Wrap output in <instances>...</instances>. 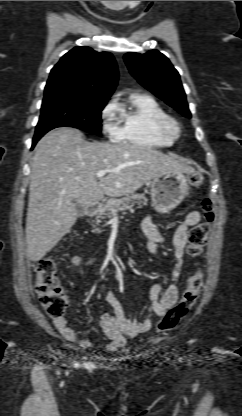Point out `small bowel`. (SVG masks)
<instances>
[{
    "instance_id": "1",
    "label": "small bowel",
    "mask_w": 242,
    "mask_h": 416,
    "mask_svg": "<svg viewBox=\"0 0 242 416\" xmlns=\"http://www.w3.org/2000/svg\"><path fill=\"white\" fill-rule=\"evenodd\" d=\"M201 220V215L197 211H191L187 214L185 219L177 224L172 235L168 238L160 232L153 222L152 216H147L142 221V229L149 237L147 244V251L149 254H154L156 245L161 242L170 241L173 246L174 253V269H173V283H171L165 290L161 283L154 284L150 289L149 299L151 303V310L157 317L162 316L170 307L174 305L178 298V287L176 281L180 276V269L185 247L187 245V233L189 228L197 224ZM71 264L78 266L82 264L83 259L79 256L71 258ZM105 300L112 307L113 313H104L101 316L100 325L103 333L108 338L106 349L115 351L123 347L126 339L135 337L142 333L149 331L153 325L151 317L145 318L141 322L131 321L125 317L121 303L116 295L111 291L105 294ZM55 327L62 334V336L83 348H90L91 342L79 335L73 330L65 317L52 318Z\"/></svg>"
}]
</instances>
